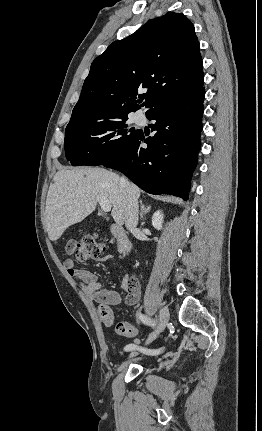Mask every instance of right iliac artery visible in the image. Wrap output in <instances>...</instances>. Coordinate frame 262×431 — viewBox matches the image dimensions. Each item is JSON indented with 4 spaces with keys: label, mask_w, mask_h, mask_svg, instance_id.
<instances>
[{
    "label": "right iliac artery",
    "mask_w": 262,
    "mask_h": 431,
    "mask_svg": "<svg viewBox=\"0 0 262 431\" xmlns=\"http://www.w3.org/2000/svg\"><path fill=\"white\" fill-rule=\"evenodd\" d=\"M137 318L140 322H142L145 325H149V326H154L155 323L153 320H151L150 318H148L147 316L143 315L142 313L138 312L137 313ZM139 348L136 344H128L125 347V351H131L134 349ZM162 351V349H155V350H148V349H144V352L150 355H156L159 354Z\"/></svg>",
    "instance_id": "1"
}]
</instances>
